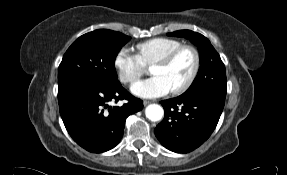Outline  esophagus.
I'll use <instances>...</instances> for the list:
<instances>
[{
  "mask_svg": "<svg viewBox=\"0 0 287 175\" xmlns=\"http://www.w3.org/2000/svg\"><path fill=\"white\" fill-rule=\"evenodd\" d=\"M153 101H151V100H144L143 101V104H144V106H147L148 104H150V103H152Z\"/></svg>",
  "mask_w": 287,
  "mask_h": 175,
  "instance_id": "34e87169",
  "label": "esophagus"
}]
</instances>
